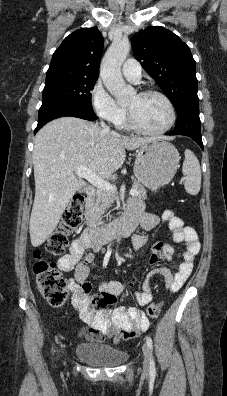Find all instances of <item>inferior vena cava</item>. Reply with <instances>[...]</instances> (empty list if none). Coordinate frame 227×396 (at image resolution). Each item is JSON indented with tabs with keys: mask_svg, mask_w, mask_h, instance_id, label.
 Returning <instances> with one entry per match:
<instances>
[{
	"mask_svg": "<svg viewBox=\"0 0 227 396\" xmlns=\"http://www.w3.org/2000/svg\"><path fill=\"white\" fill-rule=\"evenodd\" d=\"M100 124H101L102 129L110 130L109 127H107L103 121Z\"/></svg>",
	"mask_w": 227,
	"mask_h": 396,
	"instance_id": "1",
	"label": "inferior vena cava"
}]
</instances>
